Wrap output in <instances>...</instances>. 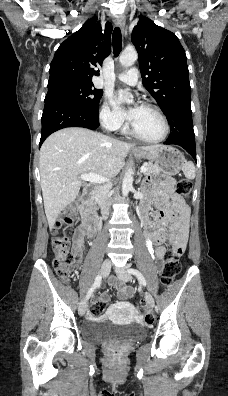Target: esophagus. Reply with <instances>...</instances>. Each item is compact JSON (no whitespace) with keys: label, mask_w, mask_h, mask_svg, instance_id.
Wrapping results in <instances>:
<instances>
[{"label":"esophagus","mask_w":228,"mask_h":396,"mask_svg":"<svg viewBox=\"0 0 228 396\" xmlns=\"http://www.w3.org/2000/svg\"><path fill=\"white\" fill-rule=\"evenodd\" d=\"M115 24L120 27L122 30H124V26H125V19L123 16L117 17L115 19Z\"/></svg>","instance_id":"34e87169"}]
</instances>
